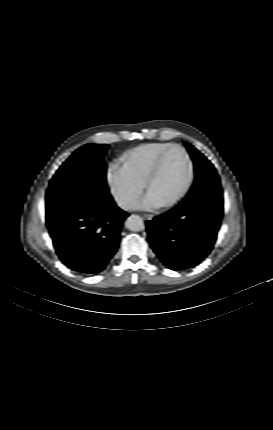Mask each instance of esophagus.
Listing matches in <instances>:
<instances>
[{"label": "esophagus", "instance_id": "34e87169", "mask_svg": "<svg viewBox=\"0 0 273 430\" xmlns=\"http://www.w3.org/2000/svg\"><path fill=\"white\" fill-rule=\"evenodd\" d=\"M143 217H144L146 220H152L153 215H152V214H144V215H143Z\"/></svg>", "mask_w": 273, "mask_h": 430}]
</instances>
